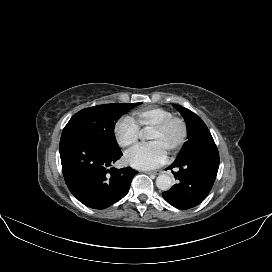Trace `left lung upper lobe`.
<instances>
[{"mask_svg": "<svg viewBox=\"0 0 272 272\" xmlns=\"http://www.w3.org/2000/svg\"><path fill=\"white\" fill-rule=\"evenodd\" d=\"M183 115L188 130V140L180 150L177 159L205 146L215 144L214 140L199 116L180 105H173Z\"/></svg>", "mask_w": 272, "mask_h": 272, "instance_id": "1", "label": "left lung upper lobe"}]
</instances>
